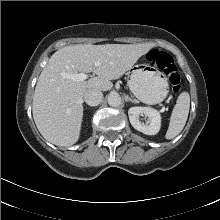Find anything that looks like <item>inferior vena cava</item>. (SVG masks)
Instances as JSON below:
<instances>
[{"mask_svg":"<svg viewBox=\"0 0 220 220\" xmlns=\"http://www.w3.org/2000/svg\"><path fill=\"white\" fill-rule=\"evenodd\" d=\"M103 99L101 91L96 89L86 90L84 93V101L90 106H97Z\"/></svg>","mask_w":220,"mask_h":220,"instance_id":"1","label":"inferior vena cava"}]
</instances>
